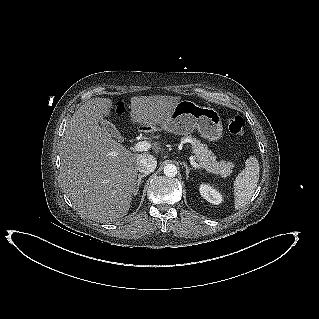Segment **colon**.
I'll return each mask as SVG.
<instances>
[{
	"mask_svg": "<svg viewBox=\"0 0 319 319\" xmlns=\"http://www.w3.org/2000/svg\"><path fill=\"white\" fill-rule=\"evenodd\" d=\"M245 122L242 117L234 116L227 118L228 131L237 136H242L244 134Z\"/></svg>",
	"mask_w": 319,
	"mask_h": 319,
	"instance_id": "colon-1",
	"label": "colon"
}]
</instances>
